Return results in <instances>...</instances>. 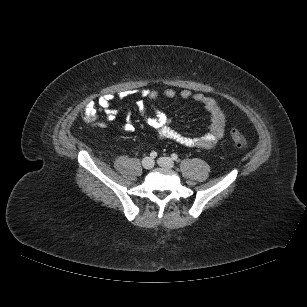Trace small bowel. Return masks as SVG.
<instances>
[{
    "label": "small bowel",
    "mask_w": 307,
    "mask_h": 307,
    "mask_svg": "<svg viewBox=\"0 0 307 307\" xmlns=\"http://www.w3.org/2000/svg\"><path fill=\"white\" fill-rule=\"evenodd\" d=\"M163 94L169 99H172L177 95L176 91L173 89H166ZM140 96L141 98L136 102V107L146 124L153 128L157 136L160 138L172 140L186 147L209 150L224 136L226 124L225 115L218 103L211 97L200 93L192 94L189 90H182L180 92L179 96L182 99L187 100L192 98L196 103L200 104L209 114L210 118V125L206 133L198 137H190L180 133L172 127L171 119L164 112L154 107V102L159 96L157 91L142 90ZM112 99V95H103L98 98L97 103L105 113L106 120L110 123H115L118 110L111 108L110 104ZM147 102L153 108L152 115L147 112ZM98 126L103 128L106 126V123L101 122ZM121 128L128 133L134 131V126L130 120L129 113L126 122Z\"/></svg>",
    "instance_id": "small-bowel-1"
}]
</instances>
